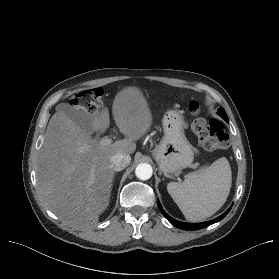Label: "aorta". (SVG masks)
<instances>
[{
  "instance_id": "1",
  "label": "aorta",
  "mask_w": 279,
  "mask_h": 279,
  "mask_svg": "<svg viewBox=\"0 0 279 279\" xmlns=\"http://www.w3.org/2000/svg\"><path fill=\"white\" fill-rule=\"evenodd\" d=\"M153 173L152 166L148 163H141L135 169L136 177L140 180H148Z\"/></svg>"
}]
</instances>
